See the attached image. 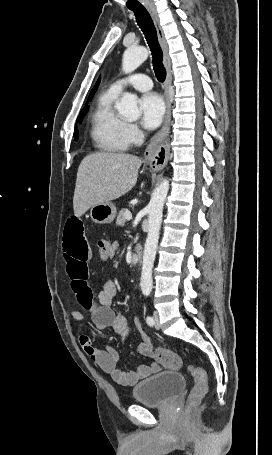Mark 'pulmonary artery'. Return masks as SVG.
<instances>
[{
    "instance_id": "1",
    "label": "pulmonary artery",
    "mask_w": 272,
    "mask_h": 455,
    "mask_svg": "<svg viewBox=\"0 0 272 455\" xmlns=\"http://www.w3.org/2000/svg\"><path fill=\"white\" fill-rule=\"evenodd\" d=\"M131 86L139 91H147L152 88L151 79L144 74H134L113 82L110 89L119 94L125 87Z\"/></svg>"
}]
</instances>
